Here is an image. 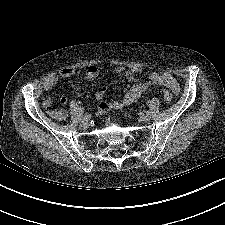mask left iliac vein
I'll return each mask as SVG.
<instances>
[{
	"mask_svg": "<svg viewBox=\"0 0 225 225\" xmlns=\"http://www.w3.org/2000/svg\"><path fill=\"white\" fill-rule=\"evenodd\" d=\"M140 118H141V120L142 121H144V122H148L150 119H151V117H150V115H145V114H142L141 116H140Z\"/></svg>",
	"mask_w": 225,
	"mask_h": 225,
	"instance_id": "4c4485c4",
	"label": "left iliac vein"
}]
</instances>
